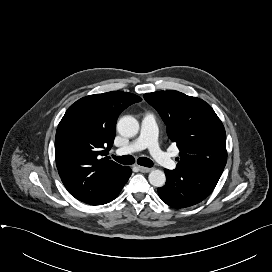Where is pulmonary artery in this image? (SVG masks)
Instances as JSON below:
<instances>
[{
    "label": "pulmonary artery",
    "instance_id": "1",
    "mask_svg": "<svg viewBox=\"0 0 272 272\" xmlns=\"http://www.w3.org/2000/svg\"><path fill=\"white\" fill-rule=\"evenodd\" d=\"M143 149H148L153 158L163 167L173 170L176 162L158 144V127L153 114L147 113L141 121L139 136L129 144L119 148L117 153L120 155L130 154Z\"/></svg>",
    "mask_w": 272,
    "mask_h": 272
}]
</instances>
